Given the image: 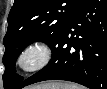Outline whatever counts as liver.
I'll use <instances>...</instances> for the list:
<instances>
[{
	"mask_svg": "<svg viewBox=\"0 0 107 89\" xmlns=\"http://www.w3.org/2000/svg\"><path fill=\"white\" fill-rule=\"evenodd\" d=\"M62 84L60 83H47V84H43V85H38L32 88H36V89H61Z\"/></svg>",
	"mask_w": 107,
	"mask_h": 89,
	"instance_id": "liver-1",
	"label": "liver"
}]
</instances>
